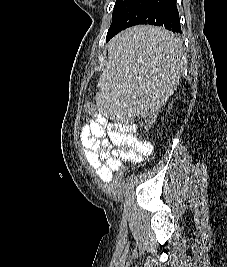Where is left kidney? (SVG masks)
I'll use <instances>...</instances> for the list:
<instances>
[{"label": "left kidney", "instance_id": "obj_1", "mask_svg": "<svg viewBox=\"0 0 227 267\" xmlns=\"http://www.w3.org/2000/svg\"><path fill=\"white\" fill-rule=\"evenodd\" d=\"M168 109H172V104L170 106H168Z\"/></svg>", "mask_w": 227, "mask_h": 267}]
</instances>
